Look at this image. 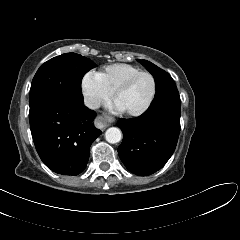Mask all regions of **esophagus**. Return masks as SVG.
<instances>
[{"instance_id": "esophagus-1", "label": "esophagus", "mask_w": 240, "mask_h": 240, "mask_svg": "<svg viewBox=\"0 0 240 240\" xmlns=\"http://www.w3.org/2000/svg\"><path fill=\"white\" fill-rule=\"evenodd\" d=\"M112 121H113L112 117H110L108 115H100L95 120V124L98 128L103 130V129L107 128L111 124Z\"/></svg>"}]
</instances>
